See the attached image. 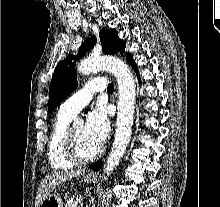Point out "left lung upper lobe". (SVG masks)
Returning a JSON list of instances; mask_svg holds the SVG:
<instances>
[{
	"label": "left lung upper lobe",
	"instance_id": "5c2ea615",
	"mask_svg": "<svg viewBox=\"0 0 220 207\" xmlns=\"http://www.w3.org/2000/svg\"><path fill=\"white\" fill-rule=\"evenodd\" d=\"M102 52L106 54L125 52V42L114 29H102L99 33ZM96 43V36L84 41L77 56L70 55L58 63L49 86L48 111L52 112L77 86L76 61L84 56ZM127 54V53H126Z\"/></svg>",
	"mask_w": 220,
	"mask_h": 207
}]
</instances>
